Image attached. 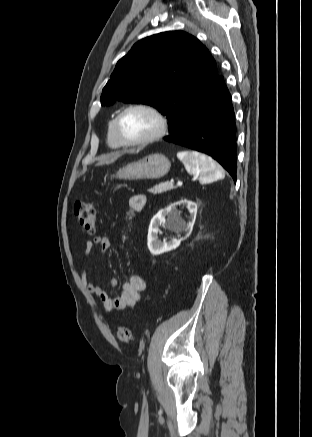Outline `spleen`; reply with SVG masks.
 Returning <instances> with one entry per match:
<instances>
[{
  "mask_svg": "<svg viewBox=\"0 0 312 437\" xmlns=\"http://www.w3.org/2000/svg\"><path fill=\"white\" fill-rule=\"evenodd\" d=\"M177 157L184 164L187 172L199 176L202 183H209L224 178V172L212 158L197 151H181Z\"/></svg>",
  "mask_w": 312,
  "mask_h": 437,
  "instance_id": "1",
  "label": "spleen"
}]
</instances>
